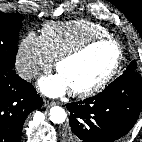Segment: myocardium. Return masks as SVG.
I'll list each match as a JSON object with an SVG mask.
<instances>
[{"label": "myocardium", "instance_id": "myocardium-1", "mask_svg": "<svg viewBox=\"0 0 142 142\" xmlns=\"http://www.w3.org/2000/svg\"><path fill=\"white\" fill-rule=\"evenodd\" d=\"M103 43H111L114 45L117 49V58L112 66V68L109 70V72L101 78L98 82L94 83L93 85L84 88V89H76V90H70L71 94L76 97H89L92 95L97 94L101 90H103L116 76L118 73L122 61H123V49L121 44L114 38L110 36H103V37H96L93 39H90L75 48L61 54L55 61V69L58 71L59 67L66 61L72 60L88 50H90L92 47L103 44Z\"/></svg>", "mask_w": 142, "mask_h": 142}]
</instances>
